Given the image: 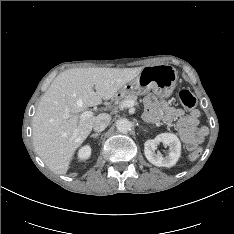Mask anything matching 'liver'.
Masks as SVG:
<instances>
[{"label": "liver", "instance_id": "liver-1", "mask_svg": "<svg viewBox=\"0 0 234 234\" xmlns=\"http://www.w3.org/2000/svg\"><path fill=\"white\" fill-rule=\"evenodd\" d=\"M141 70L75 68L53 80L32 121L34 148L51 171L65 174L75 151L91 133L96 117L82 119L81 112L113 98Z\"/></svg>", "mask_w": 234, "mask_h": 234}]
</instances>
